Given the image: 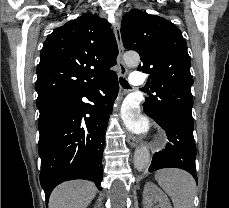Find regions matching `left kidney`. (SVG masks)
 Wrapping results in <instances>:
<instances>
[{
	"instance_id": "obj_1",
	"label": "left kidney",
	"mask_w": 229,
	"mask_h": 208,
	"mask_svg": "<svg viewBox=\"0 0 229 208\" xmlns=\"http://www.w3.org/2000/svg\"><path fill=\"white\" fill-rule=\"evenodd\" d=\"M152 202H159L160 208H171V204L164 192L153 182H147L143 192L144 208H151Z\"/></svg>"
}]
</instances>
